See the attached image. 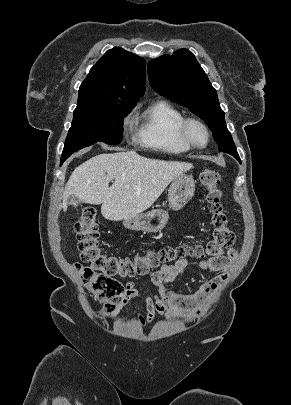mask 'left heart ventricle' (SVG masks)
<instances>
[{"instance_id": "left-heart-ventricle-1", "label": "left heart ventricle", "mask_w": 291, "mask_h": 405, "mask_svg": "<svg viewBox=\"0 0 291 405\" xmlns=\"http://www.w3.org/2000/svg\"><path fill=\"white\" fill-rule=\"evenodd\" d=\"M190 135L195 143H197L199 145H202L205 143V140H206L205 133L199 127L192 126L191 130H190Z\"/></svg>"}]
</instances>
